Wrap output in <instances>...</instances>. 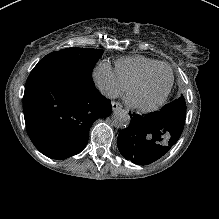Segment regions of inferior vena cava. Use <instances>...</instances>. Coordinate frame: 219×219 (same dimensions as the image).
Segmentation results:
<instances>
[{
  "label": "inferior vena cava",
  "instance_id": "1",
  "mask_svg": "<svg viewBox=\"0 0 219 219\" xmlns=\"http://www.w3.org/2000/svg\"><path fill=\"white\" fill-rule=\"evenodd\" d=\"M98 88H99L101 94L104 95L106 98L114 99L118 96V94L108 86L100 85V86H98Z\"/></svg>",
  "mask_w": 219,
  "mask_h": 219
}]
</instances>
